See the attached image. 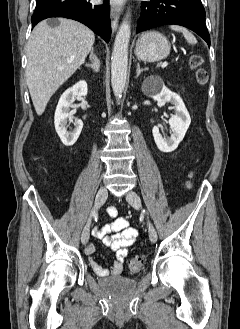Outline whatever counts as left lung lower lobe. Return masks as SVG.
Segmentation results:
<instances>
[{
    "label": "left lung lower lobe",
    "instance_id": "0a47b994",
    "mask_svg": "<svg viewBox=\"0 0 240 329\" xmlns=\"http://www.w3.org/2000/svg\"><path fill=\"white\" fill-rule=\"evenodd\" d=\"M184 26L201 36L210 46V35L205 25V10L201 0H150L141 2L137 32L158 26Z\"/></svg>",
    "mask_w": 240,
    "mask_h": 329
}]
</instances>
